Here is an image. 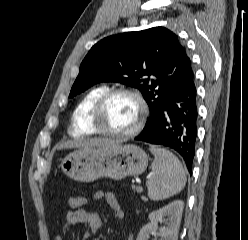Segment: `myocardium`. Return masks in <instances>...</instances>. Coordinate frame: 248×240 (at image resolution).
I'll use <instances>...</instances> for the list:
<instances>
[{"label":"myocardium","mask_w":248,"mask_h":240,"mask_svg":"<svg viewBox=\"0 0 248 240\" xmlns=\"http://www.w3.org/2000/svg\"><path fill=\"white\" fill-rule=\"evenodd\" d=\"M117 95L131 96L136 100L139 106L138 120L135 126L127 132H115V131H111V130H108L102 127V115H103L104 109L106 105L108 104V102ZM147 114H148L147 103L139 91L132 89V88H126V87L112 88L104 92L99 97V99L97 100V102L95 103L93 107L90 121H91V124L95 132L98 134L112 137V138H131V137L136 136L142 130Z\"/></svg>","instance_id":"obj_1"}]
</instances>
